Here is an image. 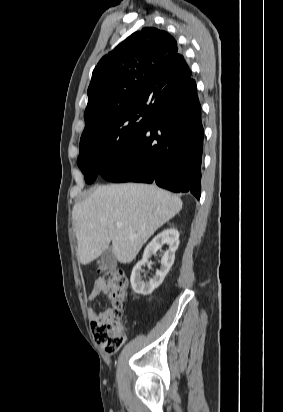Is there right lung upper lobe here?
<instances>
[{
  "instance_id": "cb5924a9",
  "label": "right lung upper lobe",
  "mask_w": 283,
  "mask_h": 412,
  "mask_svg": "<svg viewBox=\"0 0 283 412\" xmlns=\"http://www.w3.org/2000/svg\"><path fill=\"white\" fill-rule=\"evenodd\" d=\"M190 77L191 71L171 35L156 28L133 33L95 67L81 137L102 129L136 104L161 103Z\"/></svg>"
}]
</instances>
